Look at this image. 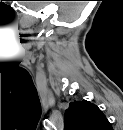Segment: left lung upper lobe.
<instances>
[{
    "label": "left lung upper lobe",
    "mask_w": 123,
    "mask_h": 130,
    "mask_svg": "<svg viewBox=\"0 0 123 130\" xmlns=\"http://www.w3.org/2000/svg\"><path fill=\"white\" fill-rule=\"evenodd\" d=\"M65 130H111V124L93 103L71 102L64 116Z\"/></svg>",
    "instance_id": "1"
}]
</instances>
